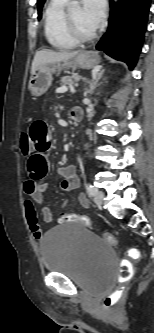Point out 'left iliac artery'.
Listing matches in <instances>:
<instances>
[{"mask_svg":"<svg viewBox=\"0 0 154 333\" xmlns=\"http://www.w3.org/2000/svg\"><path fill=\"white\" fill-rule=\"evenodd\" d=\"M85 187L87 189V192L90 194V195H95L96 192H97V188L94 187L93 185L89 184V183H85Z\"/></svg>","mask_w":154,"mask_h":333,"instance_id":"obj_1","label":"left iliac artery"}]
</instances>
